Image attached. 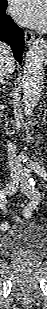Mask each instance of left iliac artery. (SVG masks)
<instances>
[{
  "mask_svg": "<svg viewBox=\"0 0 47 309\" xmlns=\"http://www.w3.org/2000/svg\"><path fill=\"white\" fill-rule=\"evenodd\" d=\"M32 167L37 174L41 175L44 179H46V177H47L46 171L44 170L43 167L40 166V164L33 163Z\"/></svg>",
  "mask_w": 47,
  "mask_h": 309,
  "instance_id": "obj_1",
  "label": "left iliac artery"
}]
</instances>
